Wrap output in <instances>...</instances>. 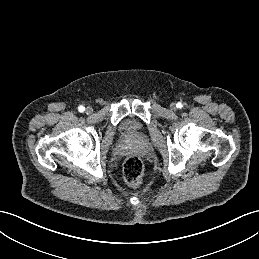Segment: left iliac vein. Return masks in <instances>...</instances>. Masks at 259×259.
Instances as JSON below:
<instances>
[{"mask_svg":"<svg viewBox=\"0 0 259 259\" xmlns=\"http://www.w3.org/2000/svg\"><path fill=\"white\" fill-rule=\"evenodd\" d=\"M170 108H171V110H173V111H176V110H177V107H176V104H175V103H172V104L170 105Z\"/></svg>","mask_w":259,"mask_h":259,"instance_id":"1","label":"left iliac vein"}]
</instances>
